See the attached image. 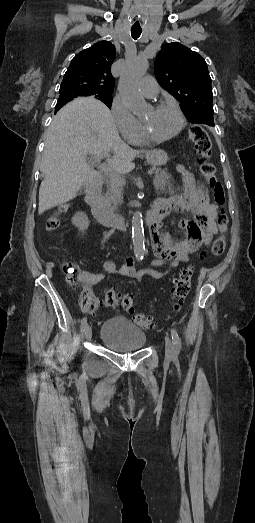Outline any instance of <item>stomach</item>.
I'll use <instances>...</instances> for the list:
<instances>
[{
    "mask_svg": "<svg viewBox=\"0 0 255 523\" xmlns=\"http://www.w3.org/2000/svg\"><path fill=\"white\" fill-rule=\"evenodd\" d=\"M146 160L151 166H163L167 162V154L163 150H150L146 154Z\"/></svg>",
    "mask_w": 255,
    "mask_h": 523,
    "instance_id": "0dacf381",
    "label": "stomach"
}]
</instances>
